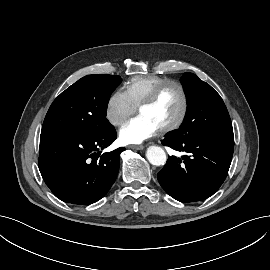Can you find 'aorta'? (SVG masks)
Masks as SVG:
<instances>
[{
  "label": "aorta",
  "mask_w": 270,
  "mask_h": 270,
  "mask_svg": "<svg viewBox=\"0 0 270 270\" xmlns=\"http://www.w3.org/2000/svg\"><path fill=\"white\" fill-rule=\"evenodd\" d=\"M146 157L155 166H162L167 161L165 151L159 146H150L146 151Z\"/></svg>",
  "instance_id": "aorta-1"
}]
</instances>
